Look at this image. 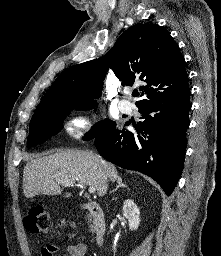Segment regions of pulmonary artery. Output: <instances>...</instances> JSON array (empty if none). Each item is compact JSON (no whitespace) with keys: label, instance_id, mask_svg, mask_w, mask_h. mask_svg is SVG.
<instances>
[{"label":"pulmonary artery","instance_id":"obj_1","mask_svg":"<svg viewBox=\"0 0 221 256\" xmlns=\"http://www.w3.org/2000/svg\"><path fill=\"white\" fill-rule=\"evenodd\" d=\"M133 108V104L130 103L128 100L123 99L119 102V109L123 113L130 114L132 113Z\"/></svg>","mask_w":221,"mask_h":256}]
</instances>
